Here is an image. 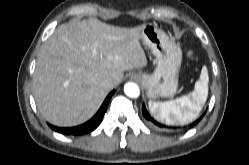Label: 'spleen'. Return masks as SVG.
I'll return each instance as SVG.
<instances>
[{"label":"spleen","mask_w":249,"mask_h":165,"mask_svg":"<svg viewBox=\"0 0 249 165\" xmlns=\"http://www.w3.org/2000/svg\"><path fill=\"white\" fill-rule=\"evenodd\" d=\"M208 82V70L203 66L193 92L172 101H149L152 115L166 124H187L194 121L207 100Z\"/></svg>","instance_id":"obj_1"}]
</instances>
